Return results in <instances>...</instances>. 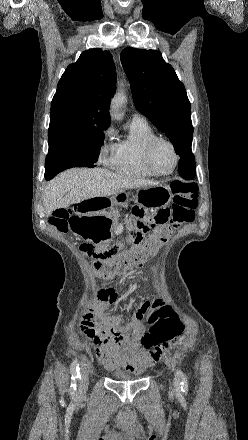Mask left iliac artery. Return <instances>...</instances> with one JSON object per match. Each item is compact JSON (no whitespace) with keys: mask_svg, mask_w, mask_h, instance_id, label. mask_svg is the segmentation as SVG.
I'll return each mask as SVG.
<instances>
[{"mask_svg":"<svg viewBox=\"0 0 248 440\" xmlns=\"http://www.w3.org/2000/svg\"><path fill=\"white\" fill-rule=\"evenodd\" d=\"M174 382L177 386H179V384H180L182 392L187 393L188 379H187L185 373L181 369L176 370Z\"/></svg>","mask_w":248,"mask_h":440,"instance_id":"left-iliac-artery-1","label":"left iliac artery"}]
</instances>
